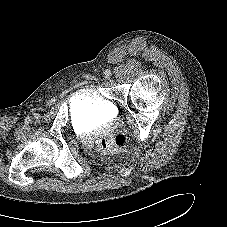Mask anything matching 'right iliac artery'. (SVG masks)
<instances>
[{
	"label": "right iliac artery",
	"mask_w": 227,
	"mask_h": 227,
	"mask_svg": "<svg viewBox=\"0 0 227 227\" xmlns=\"http://www.w3.org/2000/svg\"><path fill=\"white\" fill-rule=\"evenodd\" d=\"M30 121H31V120H30L29 117L25 119V122H27V123H29Z\"/></svg>",
	"instance_id": "obj_1"
}]
</instances>
